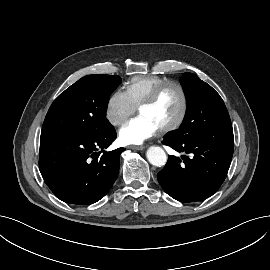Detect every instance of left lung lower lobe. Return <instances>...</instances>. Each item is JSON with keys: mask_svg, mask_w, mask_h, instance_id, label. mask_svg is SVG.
I'll list each match as a JSON object with an SVG mask.
<instances>
[{"mask_svg": "<svg viewBox=\"0 0 270 270\" xmlns=\"http://www.w3.org/2000/svg\"><path fill=\"white\" fill-rule=\"evenodd\" d=\"M178 152L191 157L169 156L167 164L158 173L164 191L180 202H196L213 195L224 182L230 167L234 136L194 132L185 139L172 133L162 142Z\"/></svg>", "mask_w": 270, "mask_h": 270, "instance_id": "1", "label": "left lung lower lobe"}]
</instances>
